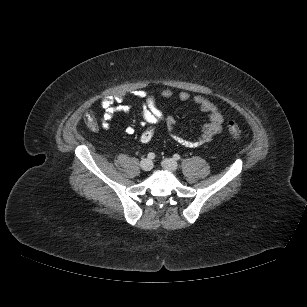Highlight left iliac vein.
I'll return each instance as SVG.
<instances>
[{
    "mask_svg": "<svg viewBox=\"0 0 307 307\" xmlns=\"http://www.w3.org/2000/svg\"><path fill=\"white\" fill-rule=\"evenodd\" d=\"M162 166L164 169L169 171H175L178 168V164L174 159L166 158L162 161Z\"/></svg>",
    "mask_w": 307,
    "mask_h": 307,
    "instance_id": "left-iliac-vein-1",
    "label": "left iliac vein"
}]
</instances>
